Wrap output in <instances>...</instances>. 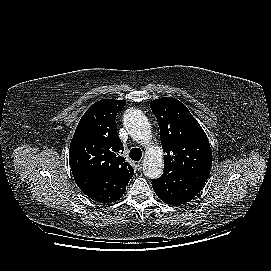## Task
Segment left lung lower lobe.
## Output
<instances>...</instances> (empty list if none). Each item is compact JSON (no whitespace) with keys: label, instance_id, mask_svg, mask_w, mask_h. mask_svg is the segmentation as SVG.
Listing matches in <instances>:
<instances>
[{"label":"left lung lower lobe","instance_id":"obj_1","mask_svg":"<svg viewBox=\"0 0 271 271\" xmlns=\"http://www.w3.org/2000/svg\"><path fill=\"white\" fill-rule=\"evenodd\" d=\"M152 186L162 201L174 206L189 202L203 187L178 172L164 174L160 179L153 180Z\"/></svg>","mask_w":271,"mask_h":271}]
</instances>
